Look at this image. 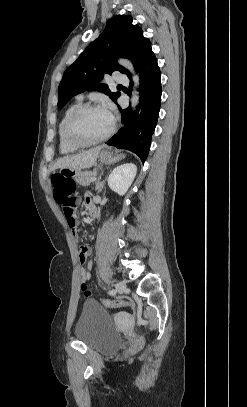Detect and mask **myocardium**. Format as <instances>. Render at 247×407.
Instances as JSON below:
<instances>
[{"label": "myocardium", "mask_w": 247, "mask_h": 407, "mask_svg": "<svg viewBox=\"0 0 247 407\" xmlns=\"http://www.w3.org/2000/svg\"><path fill=\"white\" fill-rule=\"evenodd\" d=\"M97 109H103V108L97 104H81L69 115V117L66 121V124H65V138L70 145H72L74 147H78V148L89 147V146L100 144L112 136V134L115 131V124L113 121H112L111 128L109 129V131L104 136H102L101 138H98L96 140L83 141L74 135L73 126H74L76 119L86 111L97 110Z\"/></svg>", "instance_id": "obj_1"}]
</instances>
